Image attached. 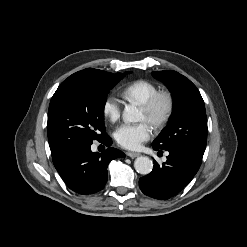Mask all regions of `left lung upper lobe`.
Segmentation results:
<instances>
[{
  "label": "left lung upper lobe",
  "mask_w": 247,
  "mask_h": 247,
  "mask_svg": "<svg viewBox=\"0 0 247 247\" xmlns=\"http://www.w3.org/2000/svg\"><path fill=\"white\" fill-rule=\"evenodd\" d=\"M152 74L164 81L174 101L168 125L152 144L165 150L186 148L204 154L208 129L205 105L199 90L178 72L165 70Z\"/></svg>",
  "instance_id": "5c2ea615"
}]
</instances>
